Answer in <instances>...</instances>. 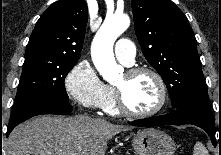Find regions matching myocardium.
Segmentation results:
<instances>
[{
  "instance_id": "myocardium-1",
  "label": "myocardium",
  "mask_w": 221,
  "mask_h": 155,
  "mask_svg": "<svg viewBox=\"0 0 221 155\" xmlns=\"http://www.w3.org/2000/svg\"><path fill=\"white\" fill-rule=\"evenodd\" d=\"M144 73L151 75L158 84L159 92H160V99H159L158 105L154 109L147 111V112L133 111L127 105L122 91L119 88L114 86L113 92H114L115 102H116L117 109L119 110L120 113L129 117H134V118H148V117L155 116L156 114L161 112L162 109L165 107L166 102H167V87H166V83L164 79L156 70L150 67L139 66V67L130 68L125 72V74L128 77H134L136 75L144 74Z\"/></svg>"
}]
</instances>
